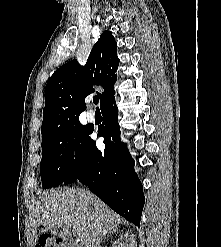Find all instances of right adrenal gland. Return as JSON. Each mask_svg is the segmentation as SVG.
Instances as JSON below:
<instances>
[{
    "mask_svg": "<svg viewBox=\"0 0 221 247\" xmlns=\"http://www.w3.org/2000/svg\"><path fill=\"white\" fill-rule=\"evenodd\" d=\"M114 232H118V230L116 229V230H114V231H112V232H109V233L112 234V233H114Z\"/></svg>",
    "mask_w": 221,
    "mask_h": 247,
    "instance_id": "obj_1",
    "label": "right adrenal gland"
}]
</instances>
